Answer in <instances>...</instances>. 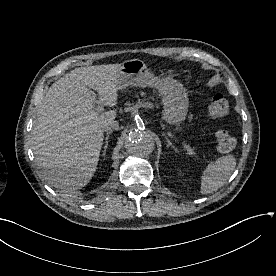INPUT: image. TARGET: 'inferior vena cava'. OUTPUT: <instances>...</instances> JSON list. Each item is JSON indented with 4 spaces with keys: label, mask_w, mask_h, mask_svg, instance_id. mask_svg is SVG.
I'll return each mask as SVG.
<instances>
[{
    "label": "inferior vena cava",
    "mask_w": 276,
    "mask_h": 276,
    "mask_svg": "<svg viewBox=\"0 0 276 276\" xmlns=\"http://www.w3.org/2000/svg\"><path fill=\"white\" fill-rule=\"evenodd\" d=\"M119 128V123L116 120H109L104 123L103 131L104 132H111L112 130H117Z\"/></svg>",
    "instance_id": "602c4592"
}]
</instances>
